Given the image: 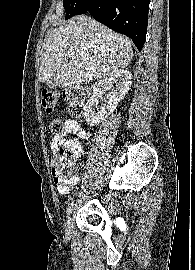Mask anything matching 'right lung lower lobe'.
<instances>
[{
    "label": "right lung lower lobe",
    "instance_id": "1",
    "mask_svg": "<svg viewBox=\"0 0 195 270\" xmlns=\"http://www.w3.org/2000/svg\"><path fill=\"white\" fill-rule=\"evenodd\" d=\"M149 3L150 0H83L81 5L95 20L129 36L141 51L146 38Z\"/></svg>",
    "mask_w": 195,
    "mask_h": 270
}]
</instances>
